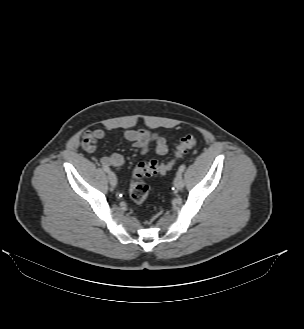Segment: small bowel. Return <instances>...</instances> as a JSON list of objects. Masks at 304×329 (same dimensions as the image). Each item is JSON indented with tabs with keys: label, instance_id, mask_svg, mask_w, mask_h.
<instances>
[{
	"label": "small bowel",
	"instance_id": "obj_1",
	"mask_svg": "<svg viewBox=\"0 0 304 329\" xmlns=\"http://www.w3.org/2000/svg\"><path fill=\"white\" fill-rule=\"evenodd\" d=\"M123 135L126 141L139 149L143 154L148 151L151 144L155 145V152L157 155L163 156L168 152V144L165 138L159 134L152 133L145 129H130L126 130ZM104 137L105 131L103 129L88 130L83 134L81 146L85 151L92 153L96 150L97 141ZM99 162L103 165L119 169L124 165V158L119 153H111L100 158Z\"/></svg>",
	"mask_w": 304,
	"mask_h": 329
}]
</instances>
